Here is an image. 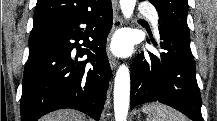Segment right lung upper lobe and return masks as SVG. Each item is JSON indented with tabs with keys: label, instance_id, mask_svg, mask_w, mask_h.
<instances>
[{
	"label": "right lung upper lobe",
	"instance_id": "cb5924a9",
	"mask_svg": "<svg viewBox=\"0 0 217 121\" xmlns=\"http://www.w3.org/2000/svg\"><path fill=\"white\" fill-rule=\"evenodd\" d=\"M97 4V0H37L34 24L76 17Z\"/></svg>",
	"mask_w": 217,
	"mask_h": 121
}]
</instances>
